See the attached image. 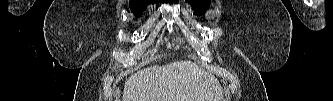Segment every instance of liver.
I'll use <instances>...</instances> for the list:
<instances>
[{
    "label": "liver",
    "instance_id": "obj_1",
    "mask_svg": "<svg viewBox=\"0 0 333 101\" xmlns=\"http://www.w3.org/2000/svg\"><path fill=\"white\" fill-rule=\"evenodd\" d=\"M217 79L191 61L142 69L126 79L123 101H221Z\"/></svg>",
    "mask_w": 333,
    "mask_h": 101
}]
</instances>
